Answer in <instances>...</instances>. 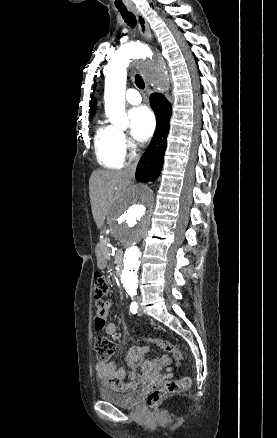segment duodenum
Returning <instances> with one entry per match:
<instances>
[{
	"instance_id": "410a0bca",
	"label": "duodenum",
	"mask_w": 277,
	"mask_h": 438,
	"mask_svg": "<svg viewBox=\"0 0 277 438\" xmlns=\"http://www.w3.org/2000/svg\"><path fill=\"white\" fill-rule=\"evenodd\" d=\"M114 260L117 266L121 267L124 261V255L121 251H117L114 256Z\"/></svg>"
}]
</instances>
